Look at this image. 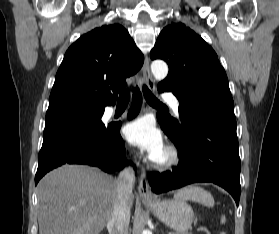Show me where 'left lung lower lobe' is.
<instances>
[{
    "label": "left lung lower lobe",
    "instance_id": "left-lung-lower-lobe-1",
    "mask_svg": "<svg viewBox=\"0 0 279 234\" xmlns=\"http://www.w3.org/2000/svg\"><path fill=\"white\" fill-rule=\"evenodd\" d=\"M159 92L171 91L158 87ZM181 128L173 135L161 127L179 150V164L171 171L152 172V191L163 193L196 182H212L226 189L239 204L241 163L232 113L181 108Z\"/></svg>",
    "mask_w": 279,
    "mask_h": 234
}]
</instances>
